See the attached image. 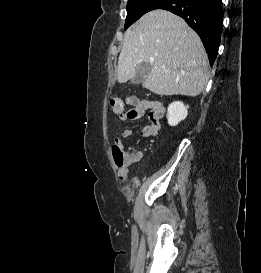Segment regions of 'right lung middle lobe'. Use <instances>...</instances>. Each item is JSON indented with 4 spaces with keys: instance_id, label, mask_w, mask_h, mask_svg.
<instances>
[{
    "instance_id": "dd1d6c3e",
    "label": "right lung middle lobe",
    "mask_w": 261,
    "mask_h": 273,
    "mask_svg": "<svg viewBox=\"0 0 261 273\" xmlns=\"http://www.w3.org/2000/svg\"><path fill=\"white\" fill-rule=\"evenodd\" d=\"M163 0H128L127 17L124 28L127 29L145 13L157 9L158 2Z\"/></svg>"
}]
</instances>
